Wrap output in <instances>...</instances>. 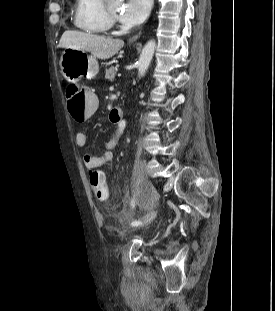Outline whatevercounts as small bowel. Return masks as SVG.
Listing matches in <instances>:
<instances>
[{
  "label": "small bowel",
  "instance_id": "small-bowel-1",
  "mask_svg": "<svg viewBox=\"0 0 275 311\" xmlns=\"http://www.w3.org/2000/svg\"><path fill=\"white\" fill-rule=\"evenodd\" d=\"M97 109V107H96ZM106 126H115L110 139L105 143V150L99 156H93L85 154L83 156V162L86 168L96 169L101 167L112 160L113 149L117 146L125 129V122L123 120V113L114 112L108 114L105 120ZM75 143L78 147H84L87 144V136L82 131H77L75 134Z\"/></svg>",
  "mask_w": 275,
  "mask_h": 311
}]
</instances>
